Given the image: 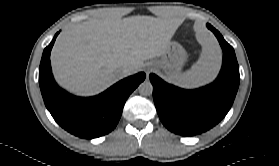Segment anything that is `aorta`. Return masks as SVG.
<instances>
[{"label":"aorta","mask_w":279,"mask_h":166,"mask_svg":"<svg viewBox=\"0 0 279 166\" xmlns=\"http://www.w3.org/2000/svg\"><path fill=\"white\" fill-rule=\"evenodd\" d=\"M138 91L141 95L149 96L153 92V86L150 81L145 80L139 85Z\"/></svg>","instance_id":"obj_1"}]
</instances>
